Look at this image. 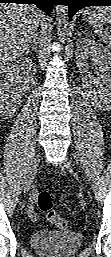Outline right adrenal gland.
Returning <instances> with one entry per match:
<instances>
[{
  "label": "right adrenal gland",
  "mask_w": 111,
  "mask_h": 257,
  "mask_svg": "<svg viewBox=\"0 0 111 257\" xmlns=\"http://www.w3.org/2000/svg\"><path fill=\"white\" fill-rule=\"evenodd\" d=\"M37 43H38V37L35 36L33 39V43L31 44V46L25 51V54L27 55L28 53H30L31 49H34L35 51L37 50Z\"/></svg>",
  "instance_id": "1"
}]
</instances>
